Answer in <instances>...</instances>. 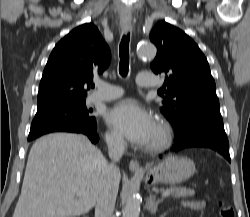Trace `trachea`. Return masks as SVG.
Returning <instances> with one entry per match:
<instances>
[{"mask_svg":"<svg viewBox=\"0 0 250 217\" xmlns=\"http://www.w3.org/2000/svg\"><path fill=\"white\" fill-rule=\"evenodd\" d=\"M119 73L125 77L128 74L129 68V35H124L119 46Z\"/></svg>","mask_w":250,"mask_h":217,"instance_id":"3493384b","label":"trachea"}]
</instances>
